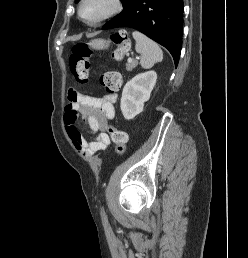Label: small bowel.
<instances>
[{
	"instance_id": "c3829d8e",
	"label": "small bowel",
	"mask_w": 248,
	"mask_h": 258,
	"mask_svg": "<svg viewBox=\"0 0 248 258\" xmlns=\"http://www.w3.org/2000/svg\"><path fill=\"white\" fill-rule=\"evenodd\" d=\"M121 77L119 73L114 72ZM69 104L65 113V127L75 150L84 158H89L97 152L104 151L110 144L107 133L108 121L115 116V94H108L97 98L87 96L70 90L68 93ZM78 115L87 126L90 139L82 135L77 125Z\"/></svg>"
}]
</instances>
